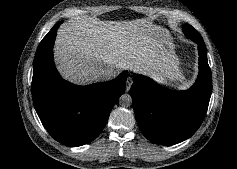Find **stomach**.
<instances>
[{"instance_id":"1","label":"stomach","mask_w":237,"mask_h":169,"mask_svg":"<svg viewBox=\"0 0 237 169\" xmlns=\"http://www.w3.org/2000/svg\"><path fill=\"white\" fill-rule=\"evenodd\" d=\"M165 43V42H164ZM158 59L162 63H171V54L169 49L163 44L158 53Z\"/></svg>"}]
</instances>
